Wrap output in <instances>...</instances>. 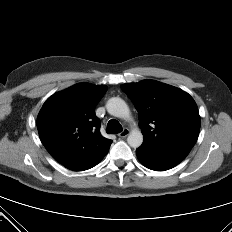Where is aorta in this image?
Here are the masks:
<instances>
[{"label":"aorta","instance_id":"obj_1","mask_svg":"<svg viewBox=\"0 0 232 232\" xmlns=\"http://www.w3.org/2000/svg\"><path fill=\"white\" fill-rule=\"evenodd\" d=\"M107 112L115 117L127 119L130 117V110L126 102L119 97H112L106 103ZM128 144L138 148L143 142V135L139 129H134L127 137Z\"/></svg>","mask_w":232,"mask_h":232}]
</instances>
